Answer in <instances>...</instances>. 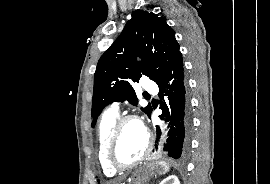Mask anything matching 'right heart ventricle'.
I'll list each match as a JSON object with an SVG mask.
<instances>
[{
  "mask_svg": "<svg viewBox=\"0 0 270 184\" xmlns=\"http://www.w3.org/2000/svg\"><path fill=\"white\" fill-rule=\"evenodd\" d=\"M119 118L118 111L108 109L101 116L98 125V157L101 168L105 175L114 176L117 171L114 170L107 162L106 148L112 129Z\"/></svg>",
  "mask_w": 270,
  "mask_h": 184,
  "instance_id": "obj_1",
  "label": "right heart ventricle"
}]
</instances>
